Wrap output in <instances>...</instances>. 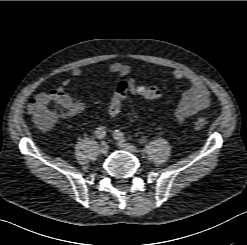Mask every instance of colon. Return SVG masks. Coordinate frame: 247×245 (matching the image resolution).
<instances>
[{"label":"colon","instance_id":"5ec220e1","mask_svg":"<svg viewBox=\"0 0 247 245\" xmlns=\"http://www.w3.org/2000/svg\"><path fill=\"white\" fill-rule=\"evenodd\" d=\"M129 93L145 99H157L161 96V90L157 86L138 84L131 79L121 80L116 85L108 105L107 112L110 117L118 116ZM66 108L67 101L62 95L44 93L30 100L28 110L34 123L40 129L48 130L64 115ZM205 125L206 120L203 117H199L195 122L196 129H202Z\"/></svg>","mask_w":247,"mask_h":245}]
</instances>
